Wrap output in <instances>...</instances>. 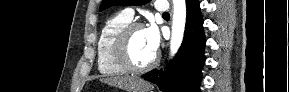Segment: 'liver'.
<instances>
[{"mask_svg": "<svg viewBox=\"0 0 289 92\" xmlns=\"http://www.w3.org/2000/svg\"><path fill=\"white\" fill-rule=\"evenodd\" d=\"M101 82L119 87L126 92L150 91L152 87L146 81L134 77H110L100 79Z\"/></svg>", "mask_w": 289, "mask_h": 92, "instance_id": "liver-1", "label": "liver"}]
</instances>
